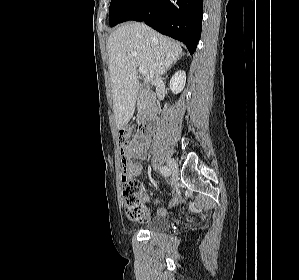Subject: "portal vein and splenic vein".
I'll return each instance as SVG.
<instances>
[{
  "mask_svg": "<svg viewBox=\"0 0 299 280\" xmlns=\"http://www.w3.org/2000/svg\"><path fill=\"white\" fill-rule=\"evenodd\" d=\"M138 70H139V73L142 75H147V73H148V70L145 66L139 67Z\"/></svg>",
  "mask_w": 299,
  "mask_h": 280,
  "instance_id": "obj_1",
  "label": "portal vein and splenic vein"
}]
</instances>
